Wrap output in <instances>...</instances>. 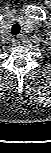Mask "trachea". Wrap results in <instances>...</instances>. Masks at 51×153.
<instances>
[{"instance_id":"1","label":"trachea","mask_w":51,"mask_h":153,"mask_svg":"<svg viewBox=\"0 0 51 153\" xmlns=\"http://www.w3.org/2000/svg\"><path fill=\"white\" fill-rule=\"evenodd\" d=\"M20 30H21L20 25H19L18 23H15V24L12 26L11 33H12V35H15V36H16V35L19 34Z\"/></svg>"}]
</instances>
